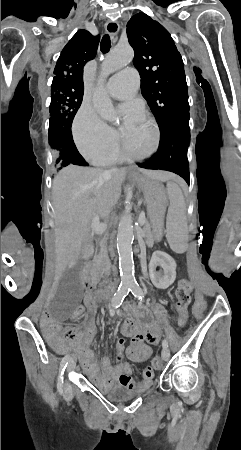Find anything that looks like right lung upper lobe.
Listing matches in <instances>:
<instances>
[{"label":"right lung upper lobe","mask_w":241,"mask_h":450,"mask_svg":"<svg viewBox=\"0 0 241 450\" xmlns=\"http://www.w3.org/2000/svg\"><path fill=\"white\" fill-rule=\"evenodd\" d=\"M100 36L79 30L63 48L54 69V84L83 85V67L96 55Z\"/></svg>","instance_id":"right-lung-upper-lobe-1"}]
</instances>
